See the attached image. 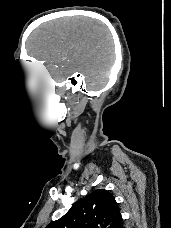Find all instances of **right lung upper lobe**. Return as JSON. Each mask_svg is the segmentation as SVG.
Returning <instances> with one entry per match:
<instances>
[{"label": "right lung upper lobe", "instance_id": "1", "mask_svg": "<svg viewBox=\"0 0 171 228\" xmlns=\"http://www.w3.org/2000/svg\"><path fill=\"white\" fill-rule=\"evenodd\" d=\"M46 228H123L118 203L107 190L98 189L75 203Z\"/></svg>", "mask_w": 171, "mask_h": 228}]
</instances>
